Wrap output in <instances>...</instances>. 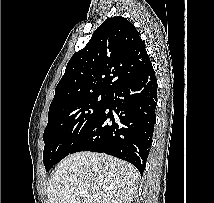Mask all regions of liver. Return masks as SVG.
I'll return each mask as SVG.
<instances>
[{
    "label": "liver",
    "instance_id": "obj_1",
    "mask_svg": "<svg viewBox=\"0 0 214 203\" xmlns=\"http://www.w3.org/2000/svg\"><path fill=\"white\" fill-rule=\"evenodd\" d=\"M138 170L131 164L102 153L78 152L56 167L48 183L49 203H131ZM83 188L86 196L76 190Z\"/></svg>",
    "mask_w": 214,
    "mask_h": 203
}]
</instances>
